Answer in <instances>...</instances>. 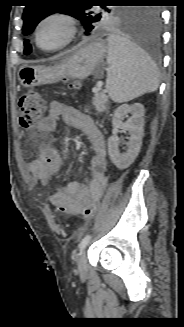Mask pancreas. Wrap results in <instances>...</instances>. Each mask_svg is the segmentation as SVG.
Masks as SVG:
<instances>
[{"label": "pancreas", "mask_w": 184, "mask_h": 327, "mask_svg": "<svg viewBox=\"0 0 184 327\" xmlns=\"http://www.w3.org/2000/svg\"><path fill=\"white\" fill-rule=\"evenodd\" d=\"M92 103L98 112H103L106 110V106L108 104V97L104 92H94Z\"/></svg>", "instance_id": "cf45deb5"}]
</instances>
